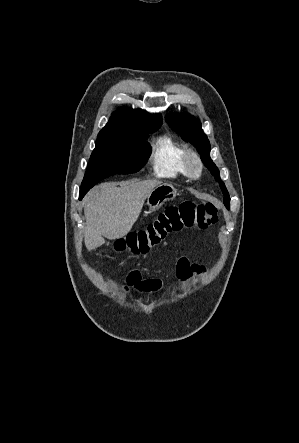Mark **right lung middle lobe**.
<instances>
[{
	"label": "right lung middle lobe",
	"instance_id": "obj_1",
	"mask_svg": "<svg viewBox=\"0 0 299 443\" xmlns=\"http://www.w3.org/2000/svg\"><path fill=\"white\" fill-rule=\"evenodd\" d=\"M160 126H147L138 132L98 137L81 184L80 196H84L106 177L139 171L151 153L145 140L149 133L157 131Z\"/></svg>",
	"mask_w": 299,
	"mask_h": 443
}]
</instances>
